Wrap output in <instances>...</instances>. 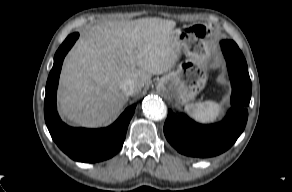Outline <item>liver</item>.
Returning <instances> with one entry per match:
<instances>
[{
    "label": "liver",
    "mask_w": 292,
    "mask_h": 192,
    "mask_svg": "<svg viewBox=\"0 0 292 192\" xmlns=\"http://www.w3.org/2000/svg\"><path fill=\"white\" fill-rule=\"evenodd\" d=\"M175 26L173 20L142 18L108 21L86 31L60 75L62 117L82 127L109 122L128 101L124 80L134 81L137 95L152 75L174 67L181 54Z\"/></svg>",
    "instance_id": "1"
}]
</instances>
